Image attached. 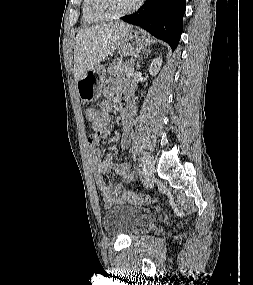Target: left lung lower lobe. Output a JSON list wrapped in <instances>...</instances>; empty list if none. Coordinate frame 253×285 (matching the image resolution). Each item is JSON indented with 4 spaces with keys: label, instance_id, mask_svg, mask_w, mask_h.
Instances as JSON below:
<instances>
[{
    "label": "left lung lower lobe",
    "instance_id": "obj_1",
    "mask_svg": "<svg viewBox=\"0 0 253 285\" xmlns=\"http://www.w3.org/2000/svg\"><path fill=\"white\" fill-rule=\"evenodd\" d=\"M185 8L186 0H146L136 14L120 19L166 41L174 51L182 33Z\"/></svg>",
    "mask_w": 253,
    "mask_h": 285
}]
</instances>
